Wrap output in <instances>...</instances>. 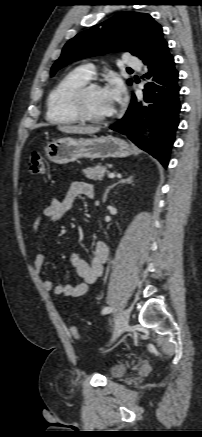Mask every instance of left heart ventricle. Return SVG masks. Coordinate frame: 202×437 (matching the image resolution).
Segmentation results:
<instances>
[{
  "label": "left heart ventricle",
  "instance_id": "left-heart-ventricle-1",
  "mask_svg": "<svg viewBox=\"0 0 202 437\" xmlns=\"http://www.w3.org/2000/svg\"><path fill=\"white\" fill-rule=\"evenodd\" d=\"M85 104L87 111L96 117L108 116L114 112L116 107L104 88L90 90Z\"/></svg>",
  "mask_w": 202,
  "mask_h": 437
}]
</instances>
